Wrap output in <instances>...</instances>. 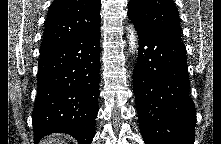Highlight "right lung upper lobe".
<instances>
[{
  "instance_id": "1",
  "label": "right lung upper lobe",
  "mask_w": 221,
  "mask_h": 144,
  "mask_svg": "<svg viewBox=\"0 0 221 144\" xmlns=\"http://www.w3.org/2000/svg\"><path fill=\"white\" fill-rule=\"evenodd\" d=\"M100 0H54L47 14L40 53L81 37L100 26Z\"/></svg>"
}]
</instances>
